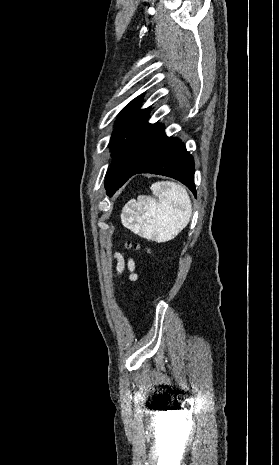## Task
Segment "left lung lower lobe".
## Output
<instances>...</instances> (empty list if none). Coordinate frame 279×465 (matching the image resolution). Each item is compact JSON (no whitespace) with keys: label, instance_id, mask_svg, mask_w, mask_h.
<instances>
[{"label":"left lung lower lobe","instance_id":"obj_1","mask_svg":"<svg viewBox=\"0 0 279 465\" xmlns=\"http://www.w3.org/2000/svg\"><path fill=\"white\" fill-rule=\"evenodd\" d=\"M139 173H153L175 178L196 195L194 159L178 138H167L133 175Z\"/></svg>","mask_w":279,"mask_h":465}]
</instances>
